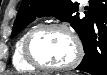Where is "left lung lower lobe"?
<instances>
[{
	"label": "left lung lower lobe",
	"instance_id": "0a47b994",
	"mask_svg": "<svg viewBox=\"0 0 107 75\" xmlns=\"http://www.w3.org/2000/svg\"><path fill=\"white\" fill-rule=\"evenodd\" d=\"M89 6L90 21L80 36L85 55L76 70L91 75H107V38L99 39L96 35L101 23L105 25H102L103 30H107V1L89 0Z\"/></svg>",
	"mask_w": 107,
	"mask_h": 75
}]
</instances>
